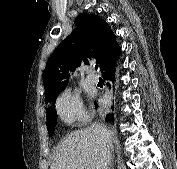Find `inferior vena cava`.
<instances>
[{
  "label": "inferior vena cava",
  "instance_id": "inferior-vena-cava-1",
  "mask_svg": "<svg viewBox=\"0 0 177 169\" xmlns=\"http://www.w3.org/2000/svg\"><path fill=\"white\" fill-rule=\"evenodd\" d=\"M92 131L97 136L98 143L100 145L101 154V169H110L112 161V136L109 131L102 125L93 124Z\"/></svg>",
  "mask_w": 177,
  "mask_h": 169
}]
</instances>
